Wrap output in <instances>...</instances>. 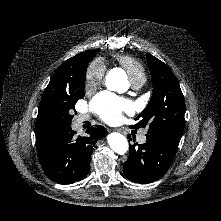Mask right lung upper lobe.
<instances>
[{"mask_svg": "<svg viewBox=\"0 0 221 221\" xmlns=\"http://www.w3.org/2000/svg\"><path fill=\"white\" fill-rule=\"evenodd\" d=\"M94 56V51H86L66 60L52 76L44 91L39 107L43 104L51 90L64 85L69 86L85 74L89 60ZM56 132L58 131L53 129L47 119L42 117L38 111L36 119V144L40 162L45 159L52 138Z\"/></svg>", "mask_w": 221, "mask_h": 221, "instance_id": "right-lung-upper-lobe-1", "label": "right lung upper lobe"}]
</instances>
